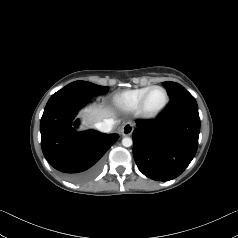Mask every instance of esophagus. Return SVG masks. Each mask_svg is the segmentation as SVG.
<instances>
[{
    "mask_svg": "<svg viewBox=\"0 0 238 238\" xmlns=\"http://www.w3.org/2000/svg\"><path fill=\"white\" fill-rule=\"evenodd\" d=\"M133 130H134L133 125L131 123H127L121 128V134L123 136H129L132 134Z\"/></svg>",
    "mask_w": 238,
    "mask_h": 238,
    "instance_id": "1",
    "label": "esophagus"
}]
</instances>
